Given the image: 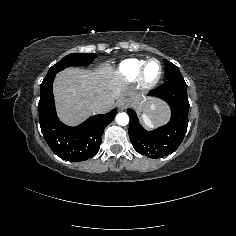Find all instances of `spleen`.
Listing matches in <instances>:
<instances>
[{
    "instance_id": "1",
    "label": "spleen",
    "mask_w": 236,
    "mask_h": 236,
    "mask_svg": "<svg viewBox=\"0 0 236 236\" xmlns=\"http://www.w3.org/2000/svg\"><path fill=\"white\" fill-rule=\"evenodd\" d=\"M141 122L147 130H149V131L155 130V126H154L152 120L148 116H146L145 114H141Z\"/></svg>"
}]
</instances>
